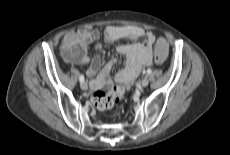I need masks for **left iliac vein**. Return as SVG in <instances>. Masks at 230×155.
Returning <instances> with one entry per match:
<instances>
[{"mask_svg":"<svg viewBox=\"0 0 230 155\" xmlns=\"http://www.w3.org/2000/svg\"><path fill=\"white\" fill-rule=\"evenodd\" d=\"M140 84L142 87H147L149 84V80L147 78H144L141 80Z\"/></svg>","mask_w":230,"mask_h":155,"instance_id":"obj_1","label":"left iliac vein"}]
</instances>
